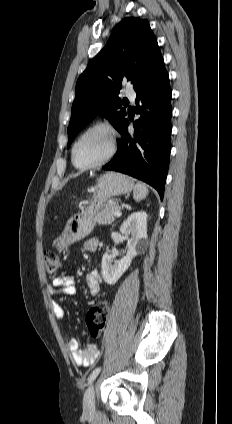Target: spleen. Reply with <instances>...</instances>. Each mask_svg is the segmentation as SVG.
<instances>
[{"label": "spleen", "instance_id": "spleen-1", "mask_svg": "<svg viewBox=\"0 0 232 424\" xmlns=\"http://www.w3.org/2000/svg\"><path fill=\"white\" fill-rule=\"evenodd\" d=\"M148 195V188L143 183H136L133 190L134 200L139 202Z\"/></svg>", "mask_w": 232, "mask_h": 424}]
</instances>
